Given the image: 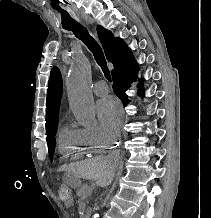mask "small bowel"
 Wrapping results in <instances>:
<instances>
[{
  "label": "small bowel",
  "instance_id": "small-bowel-1",
  "mask_svg": "<svg viewBox=\"0 0 211 218\" xmlns=\"http://www.w3.org/2000/svg\"><path fill=\"white\" fill-rule=\"evenodd\" d=\"M65 204L67 207H71L73 205V201L69 200V201L65 202Z\"/></svg>",
  "mask_w": 211,
  "mask_h": 218
}]
</instances>
